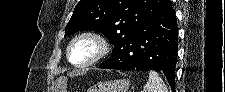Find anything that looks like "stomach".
Listing matches in <instances>:
<instances>
[{"instance_id": "stomach-1", "label": "stomach", "mask_w": 225, "mask_h": 92, "mask_svg": "<svg viewBox=\"0 0 225 92\" xmlns=\"http://www.w3.org/2000/svg\"><path fill=\"white\" fill-rule=\"evenodd\" d=\"M129 85V80L126 79L107 81L91 88L89 92H127Z\"/></svg>"}]
</instances>
